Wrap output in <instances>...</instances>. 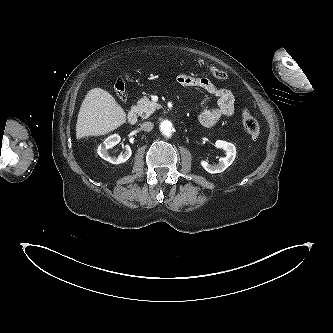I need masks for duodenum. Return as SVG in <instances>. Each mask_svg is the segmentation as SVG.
Here are the masks:
<instances>
[{
	"mask_svg": "<svg viewBox=\"0 0 333 333\" xmlns=\"http://www.w3.org/2000/svg\"><path fill=\"white\" fill-rule=\"evenodd\" d=\"M137 110L135 107H131L128 115H127V121L130 123V124H135L136 121H137Z\"/></svg>",
	"mask_w": 333,
	"mask_h": 333,
	"instance_id": "obj_1",
	"label": "duodenum"
}]
</instances>
